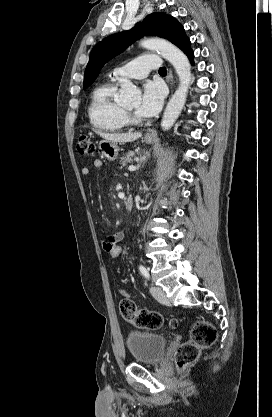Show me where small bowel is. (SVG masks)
Returning a JSON list of instances; mask_svg holds the SVG:
<instances>
[{
    "label": "small bowel",
    "instance_id": "small-bowel-1",
    "mask_svg": "<svg viewBox=\"0 0 272 417\" xmlns=\"http://www.w3.org/2000/svg\"><path fill=\"white\" fill-rule=\"evenodd\" d=\"M104 165H105V163H104V162H103V160H101V159H96V160L94 161V167H96V168H103V167H104ZM90 173H91V169H90V167H88V166L83 167V168H82V170H81V174H82L83 176H89V175H90ZM123 239H124V233H123L122 231L115 232V233H113V234H111V235L107 236V237L103 240V242H102V248H103V250H104V251H106L107 245H108L110 242H112V241H114V240H121V241H122Z\"/></svg>",
    "mask_w": 272,
    "mask_h": 417
}]
</instances>
